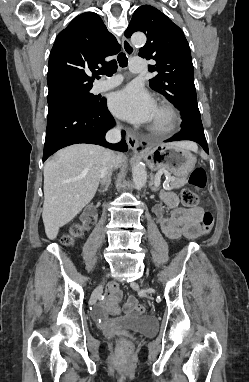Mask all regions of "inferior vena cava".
Listing matches in <instances>:
<instances>
[{
    "label": "inferior vena cava",
    "instance_id": "obj_1",
    "mask_svg": "<svg viewBox=\"0 0 249 382\" xmlns=\"http://www.w3.org/2000/svg\"><path fill=\"white\" fill-rule=\"evenodd\" d=\"M106 140L110 143H117L121 140V130L119 127L110 129L106 133ZM116 166V155L113 151L107 150L106 164L101 172V183L108 184L113 168Z\"/></svg>",
    "mask_w": 249,
    "mask_h": 382
}]
</instances>
